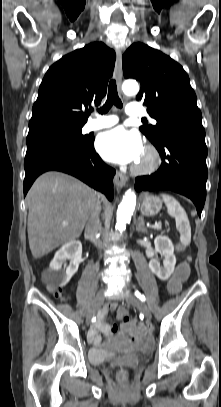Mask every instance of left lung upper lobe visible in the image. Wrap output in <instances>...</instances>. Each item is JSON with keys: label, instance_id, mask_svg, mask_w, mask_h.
Masks as SVG:
<instances>
[{"label": "left lung upper lobe", "instance_id": "1", "mask_svg": "<svg viewBox=\"0 0 221 407\" xmlns=\"http://www.w3.org/2000/svg\"><path fill=\"white\" fill-rule=\"evenodd\" d=\"M125 78L141 83L137 101L148 106V113L157 120L155 126L140 130L156 142L163 131L176 123L202 125L197 98L184 69L169 56L143 43L133 44L122 57Z\"/></svg>", "mask_w": 221, "mask_h": 407}]
</instances>
